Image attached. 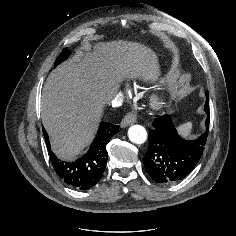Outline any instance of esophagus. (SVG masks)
I'll return each mask as SVG.
<instances>
[{"instance_id":"obj_1","label":"esophagus","mask_w":236,"mask_h":236,"mask_svg":"<svg viewBox=\"0 0 236 236\" xmlns=\"http://www.w3.org/2000/svg\"><path fill=\"white\" fill-rule=\"evenodd\" d=\"M136 115L133 113H128L124 116V118L121 121V127L125 128L131 124H134L136 122Z\"/></svg>"}]
</instances>
